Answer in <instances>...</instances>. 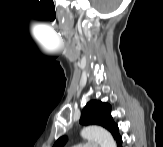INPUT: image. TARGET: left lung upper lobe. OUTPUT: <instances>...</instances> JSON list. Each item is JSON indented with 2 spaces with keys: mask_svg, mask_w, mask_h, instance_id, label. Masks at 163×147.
Listing matches in <instances>:
<instances>
[{
  "mask_svg": "<svg viewBox=\"0 0 163 147\" xmlns=\"http://www.w3.org/2000/svg\"><path fill=\"white\" fill-rule=\"evenodd\" d=\"M80 123L84 125H99L111 132L115 138L118 132V126L114 123L111 116V106L108 103L92 100L87 103L81 113ZM67 138H59L54 147H62Z\"/></svg>",
  "mask_w": 163,
  "mask_h": 147,
  "instance_id": "left-lung-upper-lobe-1",
  "label": "left lung upper lobe"
}]
</instances>
